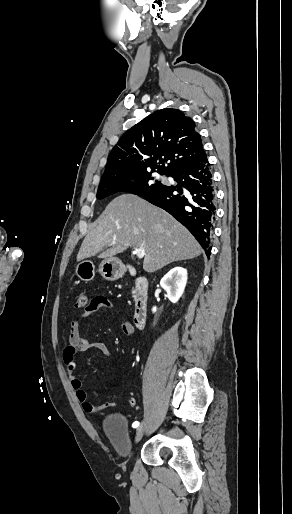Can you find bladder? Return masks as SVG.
<instances>
[{"instance_id": "obj_1", "label": "bladder", "mask_w": 292, "mask_h": 514, "mask_svg": "<svg viewBox=\"0 0 292 514\" xmlns=\"http://www.w3.org/2000/svg\"><path fill=\"white\" fill-rule=\"evenodd\" d=\"M104 432L119 455L127 456L130 453L128 423L123 414L108 415L104 421Z\"/></svg>"}]
</instances>
